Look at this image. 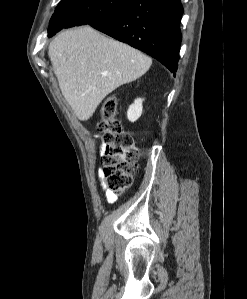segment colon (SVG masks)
<instances>
[{
    "label": "colon",
    "instance_id": "colon-1",
    "mask_svg": "<svg viewBox=\"0 0 247 299\" xmlns=\"http://www.w3.org/2000/svg\"><path fill=\"white\" fill-rule=\"evenodd\" d=\"M97 128L104 142L102 165L105 183L114 194H122L132 184L139 152L132 135L123 129L117 118L115 95L104 100Z\"/></svg>",
    "mask_w": 247,
    "mask_h": 299
}]
</instances>
